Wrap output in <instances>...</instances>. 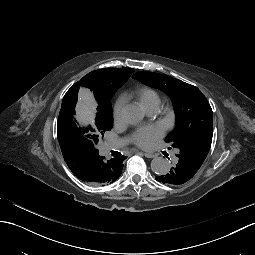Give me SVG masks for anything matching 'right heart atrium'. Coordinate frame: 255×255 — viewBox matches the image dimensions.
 <instances>
[{
  "label": "right heart atrium",
  "mask_w": 255,
  "mask_h": 255,
  "mask_svg": "<svg viewBox=\"0 0 255 255\" xmlns=\"http://www.w3.org/2000/svg\"><path fill=\"white\" fill-rule=\"evenodd\" d=\"M124 108V100L122 98L118 99L114 105L113 116L115 122H119L122 118V112Z\"/></svg>",
  "instance_id": "right-heart-atrium-1"
}]
</instances>
